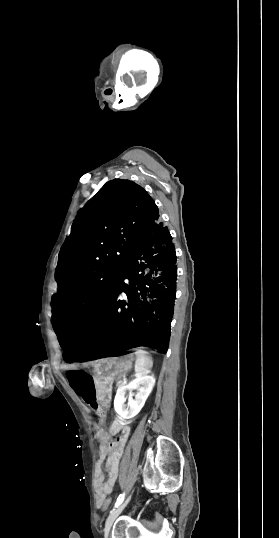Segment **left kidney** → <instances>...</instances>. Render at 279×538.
Segmentation results:
<instances>
[{
	"instance_id": "obj_1",
	"label": "left kidney",
	"mask_w": 279,
	"mask_h": 538,
	"mask_svg": "<svg viewBox=\"0 0 279 538\" xmlns=\"http://www.w3.org/2000/svg\"><path fill=\"white\" fill-rule=\"evenodd\" d=\"M155 386L154 376H147V372H136L135 380H132L130 384H121L117 390V394L114 400V410L124 418V420H131L134 416L139 414L141 408H143L149 394H151ZM130 392L128 398V408H126V392ZM133 390H137L133 400Z\"/></svg>"
}]
</instances>
